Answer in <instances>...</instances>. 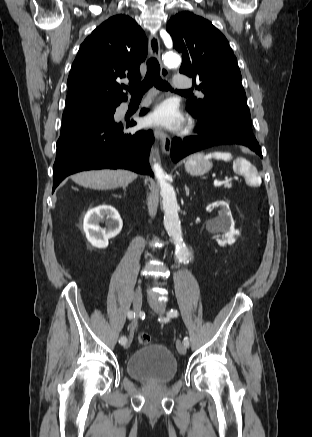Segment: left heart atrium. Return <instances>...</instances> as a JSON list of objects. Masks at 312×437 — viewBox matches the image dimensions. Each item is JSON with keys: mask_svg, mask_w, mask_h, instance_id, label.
Here are the masks:
<instances>
[{"mask_svg": "<svg viewBox=\"0 0 312 437\" xmlns=\"http://www.w3.org/2000/svg\"><path fill=\"white\" fill-rule=\"evenodd\" d=\"M148 122L154 125L177 128L182 124L183 118L173 103L165 102L148 116Z\"/></svg>", "mask_w": 312, "mask_h": 437, "instance_id": "1", "label": "left heart atrium"}]
</instances>
